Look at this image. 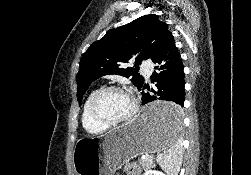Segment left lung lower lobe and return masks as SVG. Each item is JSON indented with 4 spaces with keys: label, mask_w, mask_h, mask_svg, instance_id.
Here are the masks:
<instances>
[{
    "label": "left lung lower lobe",
    "mask_w": 251,
    "mask_h": 175,
    "mask_svg": "<svg viewBox=\"0 0 251 175\" xmlns=\"http://www.w3.org/2000/svg\"><path fill=\"white\" fill-rule=\"evenodd\" d=\"M156 71L151 76L154 83L150 92L143 93L142 105L156 100L170 103L156 106L142 114V121L146 124L171 125L179 123L183 118L184 106V71L180 53L175 46L170 32L160 51L152 58ZM145 89L146 87H142ZM141 88L139 90H141ZM149 90V88H147Z\"/></svg>",
    "instance_id": "obj_1"
}]
</instances>
